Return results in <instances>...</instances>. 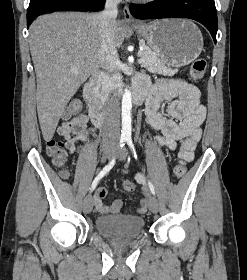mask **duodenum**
<instances>
[{
    "instance_id": "duodenum-1",
    "label": "duodenum",
    "mask_w": 247,
    "mask_h": 280,
    "mask_svg": "<svg viewBox=\"0 0 247 280\" xmlns=\"http://www.w3.org/2000/svg\"><path fill=\"white\" fill-rule=\"evenodd\" d=\"M100 73L93 74L84 85V99L88 106L90 118L94 125L101 126L104 121L105 110L99 100L98 83L100 80ZM145 98V90L142 88L135 89L134 102L141 105Z\"/></svg>"
}]
</instances>
